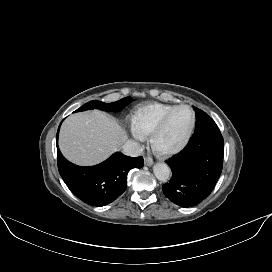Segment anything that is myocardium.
I'll return each mask as SVG.
<instances>
[{
  "mask_svg": "<svg viewBox=\"0 0 272 272\" xmlns=\"http://www.w3.org/2000/svg\"><path fill=\"white\" fill-rule=\"evenodd\" d=\"M180 109H187L191 113L190 126H189L187 132L185 133V135L182 137V139L177 144L170 146V147L162 146L159 143V138H160L161 134L163 133V131L165 130L166 125H167L168 121L170 120V118L172 117V115ZM195 124H196L195 112L190 106H188V105L175 106L172 110H170L161 119V121L159 122L157 127L151 133L150 142H151L152 149L154 150V152H156L157 154L162 155V156H169V155H172V154H175V153L181 151L188 144V142L194 132Z\"/></svg>",
  "mask_w": 272,
  "mask_h": 272,
  "instance_id": "1",
  "label": "myocardium"
}]
</instances>
